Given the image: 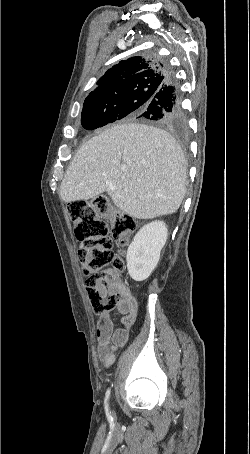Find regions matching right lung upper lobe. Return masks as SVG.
Segmentation results:
<instances>
[{"label": "right lung upper lobe", "instance_id": "obj_1", "mask_svg": "<svg viewBox=\"0 0 250 454\" xmlns=\"http://www.w3.org/2000/svg\"><path fill=\"white\" fill-rule=\"evenodd\" d=\"M168 75L166 63L154 56H137L121 61L97 81V88L90 92L84 104L119 98L145 84H155L161 88Z\"/></svg>", "mask_w": 250, "mask_h": 454}]
</instances>
